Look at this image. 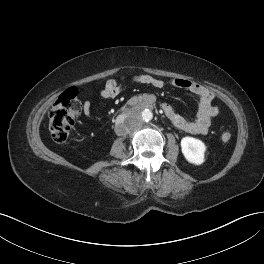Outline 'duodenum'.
Here are the masks:
<instances>
[{"instance_id": "410a0bca", "label": "duodenum", "mask_w": 264, "mask_h": 264, "mask_svg": "<svg viewBox=\"0 0 264 264\" xmlns=\"http://www.w3.org/2000/svg\"><path fill=\"white\" fill-rule=\"evenodd\" d=\"M153 106H154V100L147 95H143V96H140V97L135 99V108L136 109H144V108L150 109ZM133 114H134L133 109H129V110L122 113V115L125 116V118H128V117L132 116Z\"/></svg>"}]
</instances>
